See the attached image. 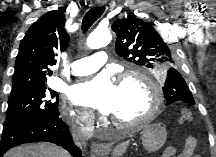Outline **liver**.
<instances>
[{
  "label": "liver",
  "instance_id": "1",
  "mask_svg": "<svg viewBox=\"0 0 216 157\" xmlns=\"http://www.w3.org/2000/svg\"><path fill=\"white\" fill-rule=\"evenodd\" d=\"M4 157H70V154L56 145L40 142L15 147Z\"/></svg>",
  "mask_w": 216,
  "mask_h": 157
}]
</instances>
